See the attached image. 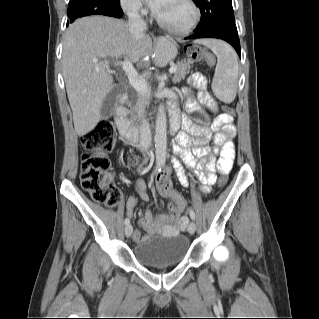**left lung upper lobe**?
<instances>
[{
  "mask_svg": "<svg viewBox=\"0 0 319 319\" xmlns=\"http://www.w3.org/2000/svg\"><path fill=\"white\" fill-rule=\"evenodd\" d=\"M200 8L202 19L196 31L224 29L237 32L231 0H193Z\"/></svg>",
  "mask_w": 319,
  "mask_h": 319,
  "instance_id": "obj_1",
  "label": "left lung upper lobe"
}]
</instances>
